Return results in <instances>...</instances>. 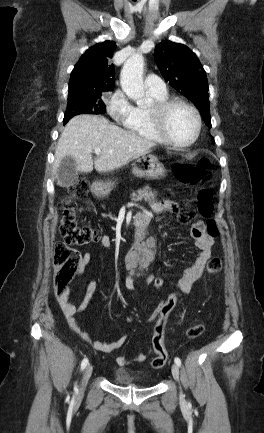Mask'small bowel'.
Masks as SVG:
<instances>
[{
  "label": "small bowel",
  "mask_w": 264,
  "mask_h": 433,
  "mask_svg": "<svg viewBox=\"0 0 264 433\" xmlns=\"http://www.w3.org/2000/svg\"><path fill=\"white\" fill-rule=\"evenodd\" d=\"M150 207L156 213L178 210L177 203L173 201L151 202ZM190 233L193 239L195 240V244L200 252L197 259L194 261V263L190 267L184 270L183 275L178 281V285L181 291L185 294L190 293L193 284L201 277L207 261L212 256V251L214 247V239L211 235H209L206 232L205 224L203 221L199 220L195 222L191 228ZM100 243L107 249L111 248V242L108 237H102ZM90 261H91V254L89 252H85L82 257V261L80 265L81 268L83 269L85 266H87L90 263ZM143 280L148 284H153L154 287L157 289H163L165 286V282L162 278H154L152 276H147ZM134 282L135 279L133 277H128L125 282L126 288L128 290H133ZM96 290H97L96 284L89 283L86 288L82 303L78 308L71 302L69 291H67L64 295L58 297V303L70 327L84 341L88 342L97 351L103 353H111L116 349L120 348L126 342L127 337L122 336L112 342H102L98 340H92L89 332L81 325L78 319L79 315L86 310L93 295L96 293ZM161 303L159 304V306L161 305ZM159 306L155 310V312L147 319V322H152L158 316ZM145 358L146 356L144 354H140L133 359V362H142L145 360ZM115 361L119 366H125L131 362L122 356H117L115 358Z\"/></svg>",
  "instance_id": "small-bowel-1"
}]
</instances>
